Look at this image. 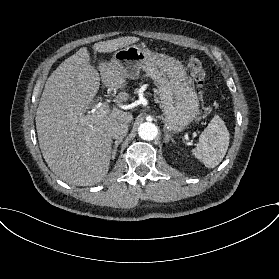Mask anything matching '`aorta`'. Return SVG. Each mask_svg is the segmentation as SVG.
I'll return each instance as SVG.
<instances>
[{"mask_svg": "<svg viewBox=\"0 0 279 279\" xmlns=\"http://www.w3.org/2000/svg\"><path fill=\"white\" fill-rule=\"evenodd\" d=\"M139 137L143 140L151 141L156 138L158 129L151 122H144L138 128Z\"/></svg>", "mask_w": 279, "mask_h": 279, "instance_id": "762f6f07", "label": "aorta"}]
</instances>
